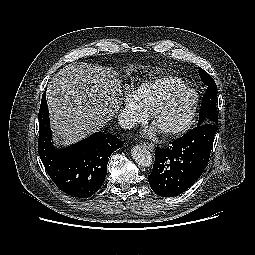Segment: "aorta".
<instances>
[{
  "label": "aorta",
  "mask_w": 255,
  "mask_h": 255,
  "mask_svg": "<svg viewBox=\"0 0 255 255\" xmlns=\"http://www.w3.org/2000/svg\"><path fill=\"white\" fill-rule=\"evenodd\" d=\"M133 160L140 166L149 167L152 164V155L145 147L137 145L131 150Z\"/></svg>",
  "instance_id": "aorta-1"
}]
</instances>
